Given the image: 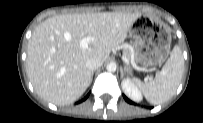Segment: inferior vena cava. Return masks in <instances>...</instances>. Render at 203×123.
<instances>
[{"label": "inferior vena cava", "mask_w": 203, "mask_h": 123, "mask_svg": "<svg viewBox=\"0 0 203 123\" xmlns=\"http://www.w3.org/2000/svg\"><path fill=\"white\" fill-rule=\"evenodd\" d=\"M102 64H103V62L97 58L87 59L85 62L87 69L91 72H93L97 68L101 67Z\"/></svg>", "instance_id": "inferior-vena-cava-1"}]
</instances>
